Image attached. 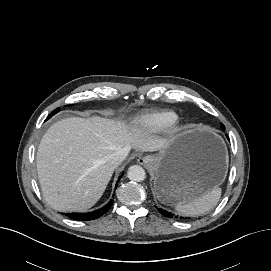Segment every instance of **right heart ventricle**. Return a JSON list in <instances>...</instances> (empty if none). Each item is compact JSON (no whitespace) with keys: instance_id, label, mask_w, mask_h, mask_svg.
Wrapping results in <instances>:
<instances>
[{"instance_id":"right-heart-ventricle-1","label":"right heart ventricle","mask_w":271,"mask_h":271,"mask_svg":"<svg viewBox=\"0 0 271 271\" xmlns=\"http://www.w3.org/2000/svg\"><path fill=\"white\" fill-rule=\"evenodd\" d=\"M178 119L173 111L146 113L135 119L134 125L140 131H162L171 127Z\"/></svg>"}]
</instances>
